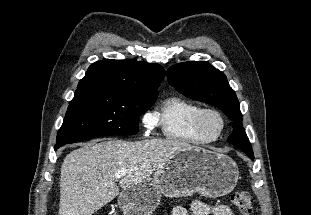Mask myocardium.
<instances>
[{"instance_id":"1","label":"myocardium","mask_w":311,"mask_h":215,"mask_svg":"<svg viewBox=\"0 0 311 215\" xmlns=\"http://www.w3.org/2000/svg\"><path fill=\"white\" fill-rule=\"evenodd\" d=\"M208 116H214L219 121V128L214 133L210 132L206 126V119ZM195 128L198 133L212 141L217 139L223 132L225 128V118L223 114L215 108H203L196 116Z\"/></svg>"}]
</instances>
